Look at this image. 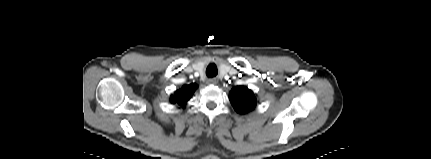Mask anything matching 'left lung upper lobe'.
Here are the masks:
<instances>
[{"instance_id":"left-lung-upper-lobe-1","label":"left lung upper lobe","mask_w":431,"mask_h":159,"mask_svg":"<svg viewBox=\"0 0 431 159\" xmlns=\"http://www.w3.org/2000/svg\"><path fill=\"white\" fill-rule=\"evenodd\" d=\"M230 101L234 109L239 113L252 110L256 105V98L251 90L246 87H235L230 92Z\"/></svg>"}]
</instances>
